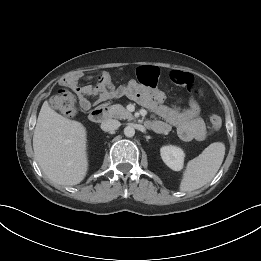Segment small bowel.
<instances>
[{
  "label": "small bowel",
  "instance_id": "obj_1",
  "mask_svg": "<svg viewBox=\"0 0 261 261\" xmlns=\"http://www.w3.org/2000/svg\"><path fill=\"white\" fill-rule=\"evenodd\" d=\"M160 76L159 68L155 66H142L137 69V80L130 81L127 85L116 87L108 73H103L99 82L93 86L81 85L79 80L82 74H77L62 81L63 85L71 88L77 95L80 107L87 111L91 108L90 98L96 102L128 97L137 101L162 118L154 121L151 126L158 133H166L173 126L183 141L204 140L207 129L200 116V106L194 98H190L189 106L181 109L170 107L163 103L164 94L152 90ZM170 79L178 84L191 89L193 75L188 72L173 70L169 73Z\"/></svg>",
  "mask_w": 261,
  "mask_h": 261
}]
</instances>
